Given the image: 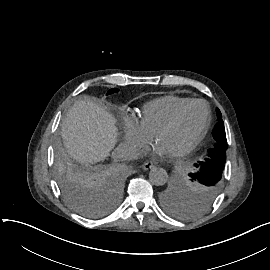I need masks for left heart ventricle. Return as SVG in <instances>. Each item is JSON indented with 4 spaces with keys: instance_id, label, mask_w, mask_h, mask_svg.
I'll use <instances>...</instances> for the list:
<instances>
[{
    "instance_id": "obj_1",
    "label": "left heart ventricle",
    "mask_w": 270,
    "mask_h": 270,
    "mask_svg": "<svg viewBox=\"0 0 270 270\" xmlns=\"http://www.w3.org/2000/svg\"><path fill=\"white\" fill-rule=\"evenodd\" d=\"M204 122L205 109L201 104H197L186 111L174 128L160 133L157 139L178 152L198 135Z\"/></svg>"
}]
</instances>
